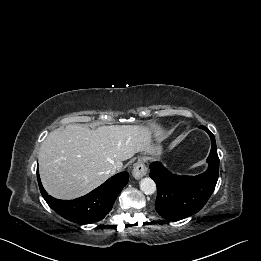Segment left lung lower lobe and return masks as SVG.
Here are the masks:
<instances>
[{
	"mask_svg": "<svg viewBox=\"0 0 261 261\" xmlns=\"http://www.w3.org/2000/svg\"><path fill=\"white\" fill-rule=\"evenodd\" d=\"M211 138V151L207 170L196 176L174 175L160 163L150 165L149 176L157 185L155 209L165 219H182L197 213L213 193L219 171V158L214 135L200 126Z\"/></svg>",
	"mask_w": 261,
	"mask_h": 261,
	"instance_id": "1",
	"label": "left lung lower lobe"
}]
</instances>
